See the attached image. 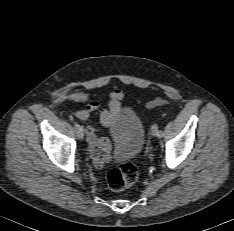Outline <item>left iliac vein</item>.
<instances>
[{
    "label": "left iliac vein",
    "instance_id": "4c4485c4",
    "mask_svg": "<svg viewBox=\"0 0 234 231\" xmlns=\"http://www.w3.org/2000/svg\"><path fill=\"white\" fill-rule=\"evenodd\" d=\"M151 134H152V136H158V127H157V125L152 126Z\"/></svg>",
    "mask_w": 234,
    "mask_h": 231
}]
</instances>
